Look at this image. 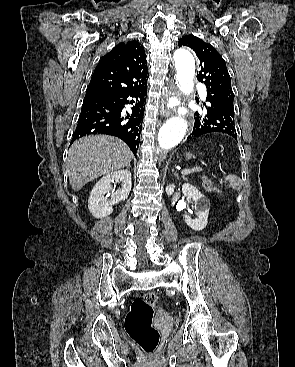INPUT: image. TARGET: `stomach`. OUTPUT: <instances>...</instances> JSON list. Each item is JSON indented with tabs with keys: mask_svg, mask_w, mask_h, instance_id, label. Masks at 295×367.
<instances>
[{
	"mask_svg": "<svg viewBox=\"0 0 295 367\" xmlns=\"http://www.w3.org/2000/svg\"><path fill=\"white\" fill-rule=\"evenodd\" d=\"M192 157H193L192 153H186L184 155V158L187 159V160L191 159Z\"/></svg>",
	"mask_w": 295,
	"mask_h": 367,
	"instance_id": "0dacf381",
	"label": "stomach"
}]
</instances>
